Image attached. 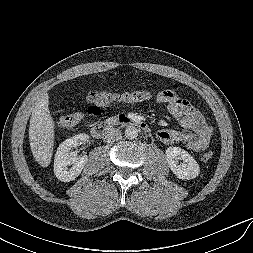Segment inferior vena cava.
<instances>
[{
    "label": "inferior vena cava",
    "instance_id": "1",
    "mask_svg": "<svg viewBox=\"0 0 253 253\" xmlns=\"http://www.w3.org/2000/svg\"><path fill=\"white\" fill-rule=\"evenodd\" d=\"M121 137H122L121 131L113 127L107 128L104 132V139L109 143L117 141L121 139Z\"/></svg>",
    "mask_w": 253,
    "mask_h": 253
}]
</instances>
